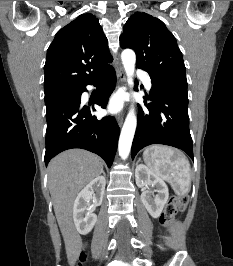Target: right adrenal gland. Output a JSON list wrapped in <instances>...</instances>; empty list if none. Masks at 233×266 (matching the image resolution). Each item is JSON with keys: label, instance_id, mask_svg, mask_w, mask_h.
<instances>
[{"label": "right adrenal gland", "instance_id": "1", "mask_svg": "<svg viewBox=\"0 0 233 266\" xmlns=\"http://www.w3.org/2000/svg\"><path fill=\"white\" fill-rule=\"evenodd\" d=\"M101 173H102L104 176L106 175V174H105V172H104L103 170H102V172H101Z\"/></svg>", "mask_w": 233, "mask_h": 266}]
</instances>
